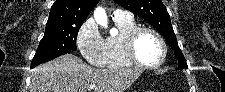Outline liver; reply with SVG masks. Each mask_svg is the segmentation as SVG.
<instances>
[{
  "label": "liver",
  "instance_id": "1",
  "mask_svg": "<svg viewBox=\"0 0 225 92\" xmlns=\"http://www.w3.org/2000/svg\"><path fill=\"white\" fill-rule=\"evenodd\" d=\"M139 69H95L65 54L33 69L30 92H125L141 75Z\"/></svg>",
  "mask_w": 225,
  "mask_h": 92
}]
</instances>
